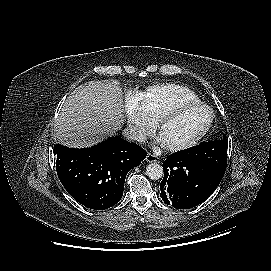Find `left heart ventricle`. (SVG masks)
I'll return each mask as SVG.
<instances>
[{
    "instance_id": "1",
    "label": "left heart ventricle",
    "mask_w": 271,
    "mask_h": 271,
    "mask_svg": "<svg viewBox=\"0 0 271 271\" xmlns=\"http://www.w3.org/2000/svg\"><path fill=\"white\" fill-rule=\"evenodd\" d=\"M208 119L209 112L205 107H195L165 121L159 135L164 145L181 144L193 138Z\"/></svg>"
}]
</instances>
